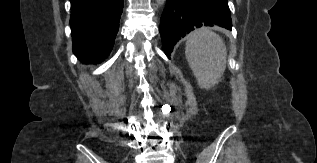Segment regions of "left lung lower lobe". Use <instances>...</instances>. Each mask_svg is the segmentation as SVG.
I'll return each mask as SVG.
<instances>
[{"label": "left lung lower lobe", "instance_id": "left-lung-lower-lobe-1", "mask_svg": "<svg viewBox=\"0 0 317 163\" xmlns=\"http://www.w3.org/2000/svg\"><path fill=\"white\" fill-rule=\"evenodd\" d=\"M227 0H167L160 22L164 52L170 58L174 44L196 28L213 24L232 29Z\"/></svg>", "mask_w": 317, "mask_h": 163}]
</instances>
